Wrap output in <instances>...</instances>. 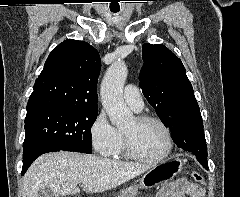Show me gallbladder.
<instances>
[{
    "instance_id": "1",
    "label": "gallbladder",
    "mask_w": 240,
    "mask_h": 197,
    "mask_svg": "<svg viewBox=\"0 0 240 197\" xmlns=\"http://www.w3.org/2000/svg\"><path fill=\"white\" fill-rule=\"evenodd\" d=\"M39 197H55V195L50 188L44 187L40 189Z\"/></svg>"
}]
</instances>
